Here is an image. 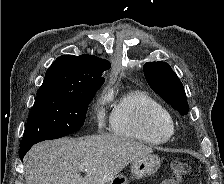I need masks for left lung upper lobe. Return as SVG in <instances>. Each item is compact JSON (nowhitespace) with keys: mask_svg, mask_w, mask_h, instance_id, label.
Wrapping results in <instances>:
<instances>
[{"mask_svg":"<svg viewBox=\"0 0 224 184\" xmlns=\"http://www.w3.org/2000/svg\"><path fill=\"white\" fill-rule=\"evenodd\" d=\"M144 75L151 89L181 115L188 113L183 84L166 62H147Z\"/></svg>","mask_w":224,"mask_h":184,"instance_id":"left-lung-upper-lobe-1","label":"left lung upper lobe"}]
</instances>
